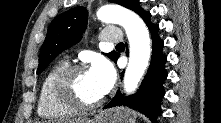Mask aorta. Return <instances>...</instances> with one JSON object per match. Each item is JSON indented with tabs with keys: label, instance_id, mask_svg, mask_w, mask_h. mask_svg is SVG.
I'll return each mask as SVG.
<instances>
[{
	"label": "aorta",
	"instance_id": "762f6f07",
	"mask_svg": "<svg viewBox=\"0 0 221 123\" xmlns=\"http://www.w3.org/2000/svg\"><path fill=\"white\" fill-rule=\"evenodd\" d=\"M101 22L119 24L124 27L130 46L129 63L124 75V90L133 93L148 66L151 41L143 20L134 12L116 5H106L97 12Z\"/></svg>",
	"mask_w": 221,
	"mask_h": 123
}]
</instances>
